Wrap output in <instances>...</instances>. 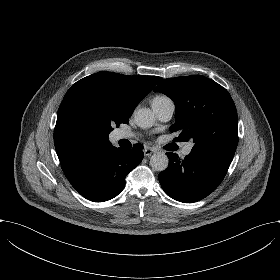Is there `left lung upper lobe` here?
<instances>
[{"label": "left lung upper lobe", "mask_w": 280, "mask_h": 280, "mask_svg": "<svg viewBox=\"0 0 280 280\" xmlns=\"http://www.w3.org/2000/svg\"><path fill=\"white\" fill-rule=\"evenodd\" d=\"M175 103V141L193 140L195 150H213L234 155L238 144L235 104L218 83L204 76L165 79L154 89Z\"/></svg>", "instance_id": "left-lung-upper-lobe-1"}]
</instances>
